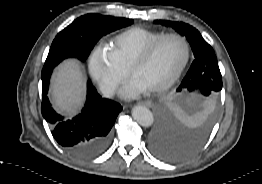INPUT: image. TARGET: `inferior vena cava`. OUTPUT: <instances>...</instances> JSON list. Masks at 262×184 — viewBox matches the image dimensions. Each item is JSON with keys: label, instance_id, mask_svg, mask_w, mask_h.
<instances>
[{"label": "inferior vena cava", "instance_id": "obj_1", "mask_svg": "<svg viewBox=\"0 0 262 184\" xmlns=\"http://www.w3.org/2000/svg\"><path fill=\"white\" fill-rule=\"evenodd\" d=\"M117 87L114 84H105L101 86V92L105 97H111L114 95Z\"/></svg>", "mask_w": 262, "mask_h": 184}]
</instances>
